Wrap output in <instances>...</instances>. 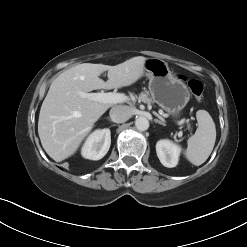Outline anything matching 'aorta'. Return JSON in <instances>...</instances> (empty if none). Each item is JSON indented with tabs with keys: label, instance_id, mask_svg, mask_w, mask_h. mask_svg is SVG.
<instances>
[{
	"label": "aorta",
	"instance_id": "762f6f07",
	"mask_svg": "<svg viewBox=\"0 0 247 247\" xmlns=\"http://www.w3.org/2000/svg\"><path fill=\"white\" fill-rule=\"evenodd\" d=\"M135 126L139 131H145L149 128V121L146 117L140 116L135 120Z\"/></svg>",
	"mask_w": 247,
	"mask_h": 247
}]
</instances>
